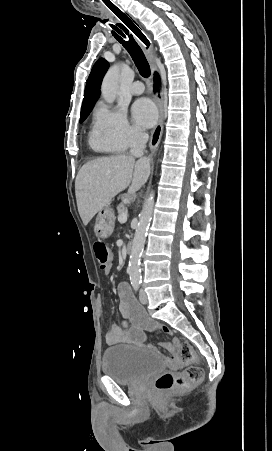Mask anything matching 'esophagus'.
I'll return each instance as SVG.
<instances>
[{
    "label": "esophagus",
    "mask_w": 272,
    "mask_h": 451,
    "mask_svg": "<svg viewBox=\"0 0 272 451\" xmlns=\"http://www.w3.org/2000/svg\"><path fill=\"white\" fill-rule=\"evenodd\" d=\"M135 25L137 28H132L133 35L139 40V42L143 45L144 51L146 53V56L149 60L152 72L157 71V67L152 59L151 53L153 50V44L149 36L144 32L142 27L138 24L136 20ZM155 102L159 111V118L156 123V126L152 130L150 142H149V148L152 152H155L157 150V147L159 145V142L162 137L163 133V120H164V109H163V93L162 88L160 84H156V94H155Z\"/></svg>",
    "instance_id": "1"
}]
</instances>
